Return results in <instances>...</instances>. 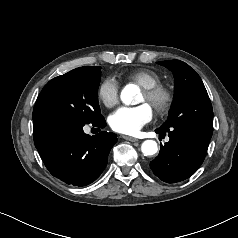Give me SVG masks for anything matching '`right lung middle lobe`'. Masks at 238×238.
Returning a JSON list of instances; mask_svg holds the SVG:
<instances>
[{"label":"right lung middle lobe","instance_id":"dd1d6c3e","mask_svg":"<svg viewBox=\"0 0 238 238\" xmlns=\"http://www.w3.org/2000/svg\"><path fill=\"white\" fill-rule=\"evenodd\" d=\"M100 69L84 66L50 80L37 98L38 108L33 118L66 119L84 124L102 119L97 95Z\"/></svg>","mask_w":238,"mask_h":238}]
</instances>
